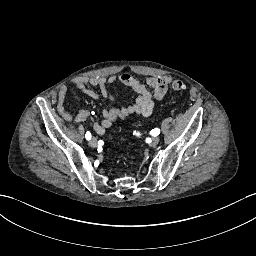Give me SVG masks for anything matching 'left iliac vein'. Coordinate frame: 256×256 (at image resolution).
<instances>
[{
    "label": "left iliac vein",
    "mask_w": 256,
    "mask_h": 256,
    "mask_svg": "<svg viewBox=\"0 0 256 256\" xmlns=\"http://www.w3.org/2000/svg\"><path fill=\"white\" fill-rule=\"evenodd\" d=\"M159 143V138L157 136L153 137L151 142H150V146L151 147H156Z\"/></svg>",
    "instance_id": "obj_1"
}]
</instances>
